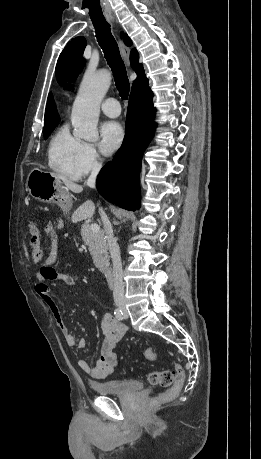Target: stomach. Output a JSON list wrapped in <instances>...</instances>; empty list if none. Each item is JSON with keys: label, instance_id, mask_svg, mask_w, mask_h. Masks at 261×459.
I'll use <instances>...</instances> for the list:
<instances>
[{"label": "stomach", "instance_id": "obj_1", "mask_svg": "<svg viewBox=\"0 0 261 459\" xmlns=\"http://www.w3.org/2000/svg\"><path fill=\"white\" fill-rule=\"evenodd\" d=\"M27 189L29 194L36 200L43 203H55L63 209H67L69 195L53 173L34 168L27 178Z\"/></svg>", "mask_w": 261, "mask_h": 459}]
</instances>
